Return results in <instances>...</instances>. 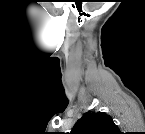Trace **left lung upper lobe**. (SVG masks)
Masks as SVG:
<instances>
[{"instance_id":"1","label":"left lung upper lobe","mask_w":145,"mask_h":134,"mask_svg":"<svg viewBox=\"0 0 145 134\" xmlns=\"http://www.w3.org/2000/svg\"><path fill=\"white\" fill-rule=\"evenodd\" d=\"M112 117L104 112L88 111L74 125L71 134H119Z\"/></svg>"}]
</instances>
